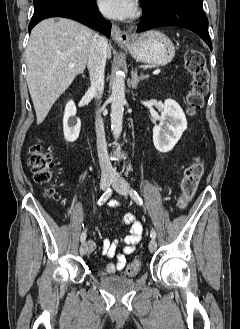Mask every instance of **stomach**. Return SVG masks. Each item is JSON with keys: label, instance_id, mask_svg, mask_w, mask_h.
Wrapping results in <instances>:
<instances>
[{"label": "stomach", "instance_id": "stomach-1", "mask_svg": "<svg viewBox=\"0 0 240 329\" xmlns=\"http://www.w3.org/2000/svg\"><path fill=\"white\" fill-rule=\"evenodd\" d=\"M137 61L163 66L175 56V46L172 41L159 31H147L140 34L126 47Z\"/></svg>", "mask_w": 240, "mask_h": 329}]
</instances>
